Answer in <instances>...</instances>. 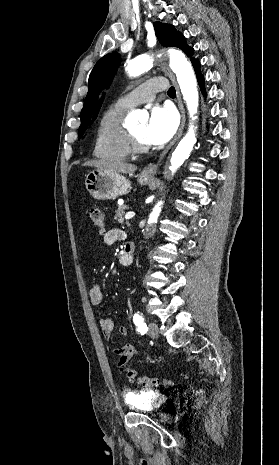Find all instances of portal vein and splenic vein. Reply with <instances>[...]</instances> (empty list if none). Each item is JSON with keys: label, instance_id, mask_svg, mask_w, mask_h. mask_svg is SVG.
<instances>
[{"label": "portal vein and splenic vein", "instance_id": "1", "mask_svg": "<svg viewBox=\"0 0 279 465\" xmlns=\"http://www.w3.org/2000/svg\"><path fill=\"white\" fill-rule=\"evenodd\" d=\"M134 216H135L134 212H128V213L125 214V219L129 220V219L133 218Z\"/></svg>", "mask_w": 279, "mask_h": 465}]
</instances>
